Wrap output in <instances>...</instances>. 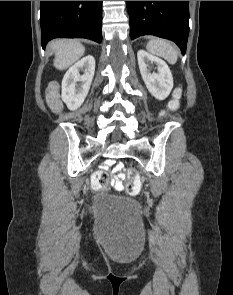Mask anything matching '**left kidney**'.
I'll return each mask as SVG.
<instances>
[{"mask_svg": "<svg viewBox=\"0 0 233 295\" xmlns=\"http://www.w3.org/2000/svg\"><path fill=\"white\" fill-rule=\"evenodd\" d=\"M137 58L142 79L149 92L158 100L167 98L173 88V77L166 62L145 50H139ZM149 62L157 65V72H150Z\"/></svg>", "mask_w": 233, "mask_h": 295, "instance_id": "left-kidney-1", "label": "left kidney"}]
</instances>
